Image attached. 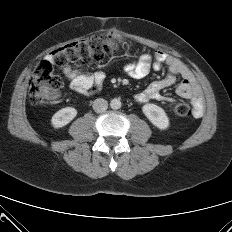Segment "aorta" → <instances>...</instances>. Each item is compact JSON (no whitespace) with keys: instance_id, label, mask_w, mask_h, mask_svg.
<instances>
[{"instance_id":"aorta-1","label":"aorta","mask_w":232,"mask_h":232,"mask_svg":"<svg viewBox=\"0 0 232 232\" xmlns=\"http://www.w3.org/2000/svg\"><path fill=\"white\" fill-rule=\"evenodd\" d=\"M110 106L112 109H119L121 108V101L118 98H114L110 102Z\"/></svg>"}]
</instances>
